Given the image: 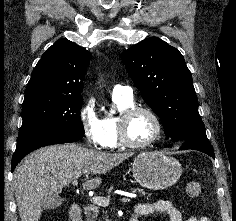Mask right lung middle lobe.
Here are the masks:
<instances>
[{
    "instance_id": "1",
    "label": "right lung middle lobe",
    "mask_w": 236,
    "mask_h": 221,
    "mask_svg": "<svg viewBox=\"0 0 236 221\" xmlns=\"http://www.w3.org/2000/svg\"><path fill=\"white\" fill-rule=\"evenodd\" d=\"M81 95L38 92L26 94L23 102V123L19 133L33 130H57L83 134L80 108Z\"/></svg>"
}]
</instances>
